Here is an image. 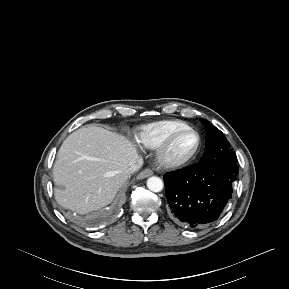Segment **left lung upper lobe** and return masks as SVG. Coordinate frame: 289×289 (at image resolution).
Listing matches in <instances>:
<instances>
[{
	"label": "left lung upper lobe",
	"mask_w": 289,
	"mask_h": 289,
	"mask_svg": "<svg viewBox=\"0 0 289 289\" xmlns=\"http://www.w3.org/2000/svg\"><path fill=\"white\" fill-rule=\"evenodd\" d=\"M206 128V148L203 157L198 162L201 166L236 164L237 157L231 150L230 143L223 133L207 120L201 119Z\"/></svg>",
	"instance_id": "5c2ea615"
}]
</instances>
